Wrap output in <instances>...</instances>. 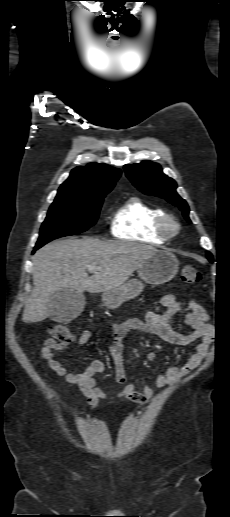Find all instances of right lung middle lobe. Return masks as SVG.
Listing matches in <instances>:
<instances>
[{"label":"right lung middle lobe","instance_id":"obj_1","mask_svg":"<svg viewBox=\"0 0 230 517\" xmlns=\"http://www.w3.org/2000/svg\"><path fill=\"white\" fill-rule=\"evenodd\" d=\"M104 192L93 198L55 199L40 229L36 246L41 247L51 240L76 235L88 230L98 218Z\"/></svg>","mask_w":230,"mask_h":517}]
</instances>
